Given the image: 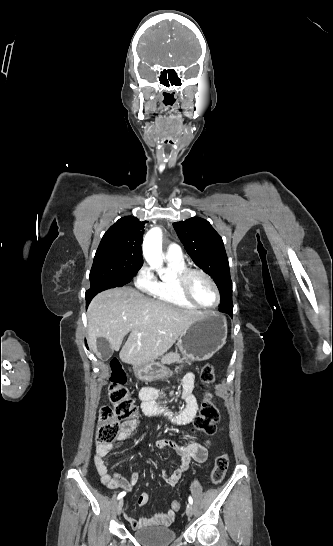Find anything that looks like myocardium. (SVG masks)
Listing matches in <instances>:
<instances>
[{
    "mask_svg": "<svg viewBox=\"0 0 333 546\" xmlns=\"http://www.w3.org/2000/svg\"><path fill=\"white\" fill-rule=\"evenodd\" d=\"M193 274H198L203 276L212 285L216 293V302L214 305H211V306L202 305L192 296L189 290V279ZM177 284H178L179 292L182 295V297L197 308L210 310V309L216 308L220 303L221 293L217 283L207 272L201 269H198V268L184 269L177 277Z\"/></svg>",
    "mask_w": 333,
    "mask_h": 546,
    "instance_id": "f54148a6",
    "label": "myocardium"
}]
</instances>
